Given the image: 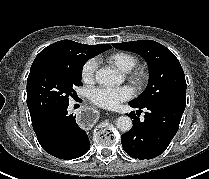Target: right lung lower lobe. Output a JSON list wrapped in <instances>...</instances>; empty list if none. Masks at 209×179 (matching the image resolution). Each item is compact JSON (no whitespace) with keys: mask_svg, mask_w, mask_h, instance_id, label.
<instances>
[{"mask_svg":"<svg viewBox=\"0 0 209 179\" xmlns=\"http://www.w3.org/2000/svg\"><path fill=\"white\" fill-rule=\"evenodd\" d=\"M69 103L62 104L32 122L42 148L59 159H74L84 155L90 148L89 138L69 114Z\"/></svg>","mask_w":209,"mask_h":179,"instance_id":"right-lung-lower-lobe-1","label":"right lung lower lobe"}]
</instances>
